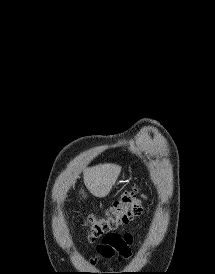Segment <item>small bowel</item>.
<instances>
[{
  "label": "small bowel",
  "mask_w": 215,
  "mask_h": 274,
  "mask_svg": "<svg viewBox=\"0 0 215 274\" xmlns=\"http://www.w3.org/2000/svg\"><path fill=\"white\" fill-rule=\"evenodd\" d=\"M132 235L129 233H108L104 236L102 242L97 245V254L99 257L109 260L113 257L127 259L131 256Z\"/></svg>",
  "instance_id": "small-bowel-1"
}]
</instances>
